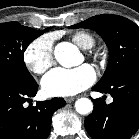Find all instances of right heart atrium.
<instances>
[{
    "label": "right heart atrium",
    "mask_w": 139,
    "mask_h": 139,
    "mask_svg": "<svg viewBox=\"0 0 139 139\" xmlns=\"http://www.w3.org/2000/svg\"><path fill=\"white\" fill-rule=\"evenodd\" d=\"M23 61L35 74L47 71L54 63L52 37L43 35L31 41L23 52Z\"/></svg>",
    "instance_id": "d8ad5b80"
}]
</instances>
